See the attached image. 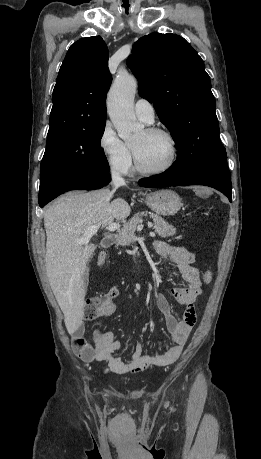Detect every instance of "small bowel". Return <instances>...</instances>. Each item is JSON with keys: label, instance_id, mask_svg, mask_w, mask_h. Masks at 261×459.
Instances as JSON below:
<instances>
[{"label": "small bowel", "instance_id": "1", "mask_svg": "<svg viewBox=\"0 0 261 459\" xmlns=\"http://www.w3.org/2000/svg\"><path fill=\"white\" fill-rule=\"evenodd\" d=\"M154 251L168 258L178 269L185 285L170 290L175 301L185 307L181 318H177L171 305L163 294H158L156 304L165 318L172 345L160 353H145L142 344L137 341L135 350L128 360L115 355L122 347L112 331L104 332L97 329L92 342L85 338V327L77 323L69 328L74 353L86 363L104 362L105 374L136 373L150 366H166L176 362L181 356L189 335L196 323L197 313L195 302L201 294V280L198 269L194 266L195 253L184 247L171 246L163 241H154ZM112 295L109 303L100 311V317L111 315L115 310L113 300L119 295V288L114 286L108 290Z\"/></svg>", "mask_w": 261, "mask_h": 459}]
</instances>
